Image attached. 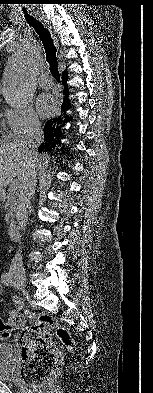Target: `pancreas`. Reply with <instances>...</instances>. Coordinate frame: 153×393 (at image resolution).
I'll return each mask as SVG.
<instances>
[{
	"label": "pancreas",
	"mask_w": 153,
	"mask_h": 393,
	"mask_svg": "<svg viewBox=\"0 0 153 393\" xmlns=\"http://www.w3.org/2000/svg\"><path fill=\"white\" fill-rule=\"evenodd\" d=\"M4 208L6 210L5 221L9 223L15 217L16 212V191L10 189L4 198Z\"/></svg>",
	"instance_id": "obj_1"
}]
</instances>
